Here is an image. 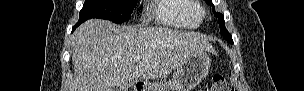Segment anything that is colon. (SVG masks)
<instances>
[{"label": "colon", "mask_w": 304, "mask_h": 91, "mask_svg": "<svg viewBox=\"0 0 304 91\" xmlns=\"http://www.w3.org/2000/svg\"><path fill=\"white\" fill-rule=\"evenodd\" d=\"M233 88L227 82L224 76L216 74L213 76L211 91H231Z\"/></svg>", "instance_id": "colon-1"}]
</instances>
